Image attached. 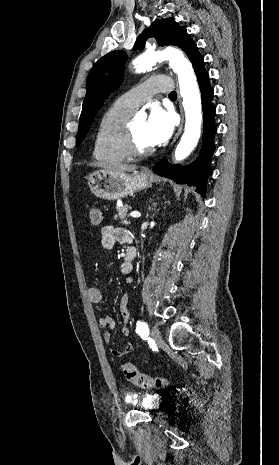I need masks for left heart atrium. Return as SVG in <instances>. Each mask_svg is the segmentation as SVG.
I'll return each mask as SVG.
<instances>
[{"instance_id": "1", "label": "left heart atrium", "mask_w": 279, "mask_h": 465, "mask_svg": "<svg viewBox=\"0 0 279 465\" xmlns=\"http://www.w3.org/2000/svg\"><path fill=\"white\" fill-rule=\"evenodd\" d=\"M174 126V116L171 112L159 106L152 107L145 124L146 134L152 146L166 142L172 135Z\"/></svg>"}]
</instances>
